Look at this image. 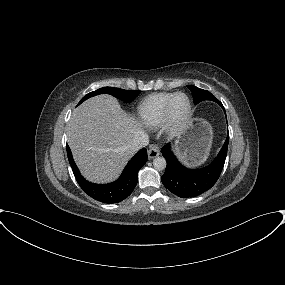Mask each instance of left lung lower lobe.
Returning <instances> with one entry per match:
<instances>
[{
    "label": "left lung lower lobe",
    "mask_w": 285,
    "mask_h": 285,
    "mask_svg": "<svg viewBox=\"0 0 285 285\" xmlns=\"http://www.w3.org/2000/svg\"><path fill=\"white\" fill-rule=\"evenodd\" d=\"M218 104L224 109L221 102ZM228 143L229 136L214 161L202 169L184 167L175 157L171 151L170 143H168L161 150L167 161L165 173L161 177L163 185L181 198L195 197L209 190L221 174L227 155Z\"/></svg>",
    "instance_id": "1"
}]
</instances>
